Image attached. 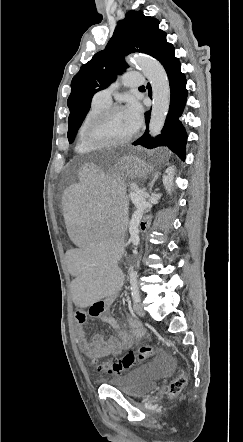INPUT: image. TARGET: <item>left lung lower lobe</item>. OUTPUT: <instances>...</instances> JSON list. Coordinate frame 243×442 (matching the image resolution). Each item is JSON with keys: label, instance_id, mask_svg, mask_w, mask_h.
Returning a JSON list of instances; mask_svg holds the SVG:
<instances>
[{"label": "left lung lower lobe", "instance_id": "obj_1", "mask_svg": "<svg viewBox=\"0 0 243 442\" xmlns=\"http://www.w3.org/2000/svg\"><path fill=\"white\" fill-rule=\"evenodd\" d=\"M174 47L171 43L166 41V38L159 44L154 58H156L165 68L170 85V106L167 114L164 127L161 134L152 138L149 135V120L151 110L146 112L145 120L147 128L142 137L136 140L133 145H142L146 148L152 149L158 146H167L175 152L182 160H185V145L187 141V134L181 122L186 101V78L181 73V64L179 59L175 57ZM147 89L149 95L152 96L151 86L148 84Z\"/></svg>", "mask_w": 243, "mask_h": 442}]
</instances>
